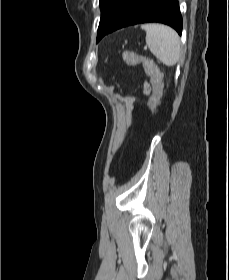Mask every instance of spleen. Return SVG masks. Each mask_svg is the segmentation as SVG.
Returning a JSON list of instances; mask_svg holds the SVG:
<instances>
[{
	"instance_id": "spleen-1",
	"label": "spleen",
	"mask_w": 229,
	"mask_h": 280,
	"mask_svg": "<svg viewBox=\"0 0 229 280\" xmlns=\"http://www.w3.org/2000/svg\"><path fill=\"white\" fill-rule=\"evenodd\" d=\"M146 44L153 55L167 66L175 65L180 57V38L172 28L161 24H144Z\"/></svg>"
}]
</instances>
